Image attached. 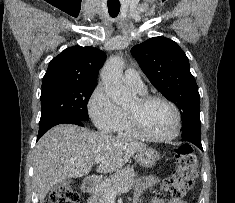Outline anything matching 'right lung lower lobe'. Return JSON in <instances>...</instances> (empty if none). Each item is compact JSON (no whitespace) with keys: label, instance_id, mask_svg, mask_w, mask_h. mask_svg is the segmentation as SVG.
<instances>
[{"label":"right lung lower lobe","instance_id":"98d812e1","mask_svg":"<svg viewBox=\"0 0 235 203\" xmlns=\"http://www.w3.org/2000/svg\"><path fill=\"white\" fill-rule=\"evenodd\" d=\"M63 123L84 126L83 121H80L77 119H72V118L55 119V120L49 121L43 125H39V132H38L37 140L53 126L58 125V124H63Z\"/></svg>","mask_w":235,"mask_h":203}]
</instances>
